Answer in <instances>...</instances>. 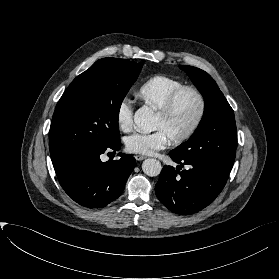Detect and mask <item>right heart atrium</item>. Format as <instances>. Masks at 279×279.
Instances as JSON below:
<instances>
[{"label":"right heart atrium","instance_id":"d8ad5b80","mask_svg":"<svg viewBox=\"0 0 279 279\" xmlns=\"http://www.w3.org/2000/svg\"><path fill=\"white\" fill-rule=\"evenodd\" d=\"M133 105L128 99H123L116 109V123L120 130L127 132L133 126Z\"/></svg>","mask_w":279,"mask_h":279}]
</instances>
